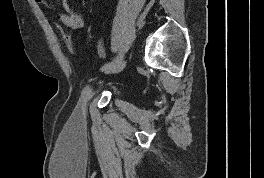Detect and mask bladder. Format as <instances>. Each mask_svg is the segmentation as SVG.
Returning <instances> with one entry per match:
<instances>
[{
    "label": "bladder",
    "mask_w": 264,
    "mask_h": 178,
    "mask_svg": "<svg viewBox=\"0 0 264 178\" xmlns=\"http://www.w3.org/2000/svg\"><path fill=\"white\" fill-rule=\"evenodd\" d=\"M100 91H101V87H98L95 83L90 82V83L85 85V87L83 89V95L84 96H92V95H94ZM109 91L113 95L118 93V91L116 89H109Z\"/></svg>",
    "instance_id": "bladder-1"
}]
</instances>
